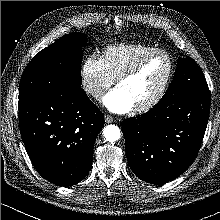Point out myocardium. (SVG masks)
I'll use <instances>...</instances> for the list:
<instances>
[{
  "label": "myocardium",
  "instance_id": "f54148a6",
  "mask_svg": "<svg viewBox=\"0 0 220 220\" xmlns=\"http://www.w3.org/2000/svg\"><path fill=\"white\" fill-rule=\"evenodd\" d=\"M158 54L164 55L168 59V62H169L168 73L166 75V78H165L162 86L157 91V93L148 101H146L138 106H135L136 110L139 112L147 111V110L154 108L164 98V96H165V94H166V92L172 82L174 72H175V63H174L173 57L166 50L155 48V49L150 50V51L142 54L141 56H139L136 60H134L131 63V65L128 68H126L123 72H121L116 78V83H117V85H119V83L121 81L137 74V72L140 70L142 64L149 57L154 56V55H158Z\"/></svg>",
  "mask_w": 220,
  "mask_h": 220
}]
</instances>
